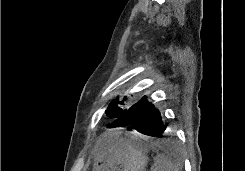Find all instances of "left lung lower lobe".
Segmentation results:
<instances>
[{"mask_svg": "<svg viewBox=\"0 0 245 171\" xmlns=\"http://www.w3.org/2000/svg\"><path fill=\"white\" fill-rule=\"evenodd\" d=\"M111 128L125 127L129 130H137L143 134L161 138L167 128L161 112L146 96L132 105L118 120L110 124Z\"/></svg>", "mask_w": 245, "mask_h": 171, "instance_id": "obj_1", "label": "left lung lower lobe"}]
</instances>
